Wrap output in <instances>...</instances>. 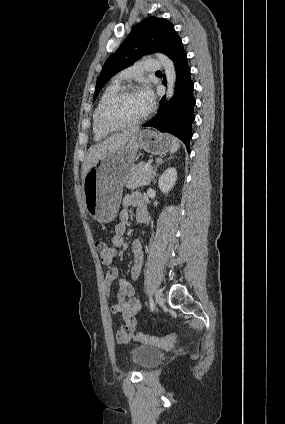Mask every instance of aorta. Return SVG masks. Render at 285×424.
Listing matches in <instances>:
<instances>
[{
    "instance_id": "obj_1",
    "label": "aorta",
    "mask_w": 285,
    "mask_h": 424,
    "mask_svg": "<svg viewBox=\"0 0 285 424\" xmlns=\"http://www.w3.org/2000/svg\"><path fill=\"white\" fill-rule=\"evenodd\" d=\"M157 59L161 63V65L164 68L165 76L167 80V92H166V98L169 101L173 95H174V89H175V82H176V71L174 67L173 61L166 55L157 53L156 54Z\"/></svg>"
}]
</instances>
